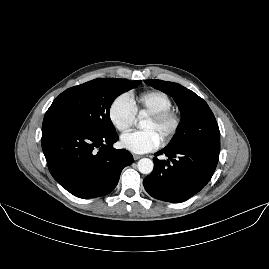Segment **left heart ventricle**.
Segmentation results:
<instances>
[{"mask_svg": "<svg viewBox=\"0 0 269 269\" xmlns=\"http://www.w3.org/2000/svg\"><path fill=\"white\" fill-rule=\"evenodd\" d=\"M144 129L146 131H154L163 143L170 132L171 124L168 122H162L157 118L150 116Z\"/></svg>", "mask_w": 269, "mask_h": 269, "instance_id": "1", "label": "left heart ventricle"}]
</instances>
